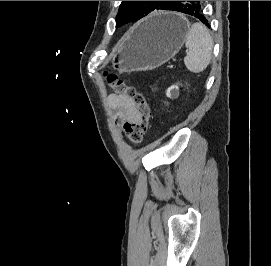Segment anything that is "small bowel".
<instances>
[{
  "instance_id": "obj_1",
  "label": "small bowel",
  "mask_w": 271,
  "mask_h": 266,
  "mask_svg": "<svg viewBox=\"0 0 271 266\" xmlns=\"http://www.w3.org/2000/svg\"><path fill=\"white\" fill-rule=\"evenodd\" d=\"M111 106L118 109L115 116L117 124L132 122L137 118V112L133 102L124 95H111L109 98Z\"/></svg>"
}]
</instances>
